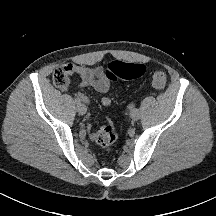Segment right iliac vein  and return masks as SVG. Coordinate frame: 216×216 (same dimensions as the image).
<instances>
[{
  "label": "right iliac vein",
  "instance_id": "obj_1",
  "mask_svg": "<svg viewBox=\"0 0 216 216\" xmlns=\"http://www.w3.org/2000/svg\"><path fill=\"white\" fill-rule=\"evenodd\" d=\"M77 112L80 114V115H84L86 114L87 112V108L84 104H78L77 105Z\"/></svg>",
  "mask_w": 216,
  "mask_h": 216
}]
</instances>
